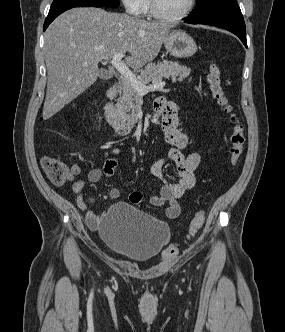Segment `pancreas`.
Here are the masks:
<instances>
[{
    "instance_id": "1",
    "label": "pancreas",
    "mask_w": 285,
    "mask_h": 332,
    "mask_svg": "<svg viewBox=\"0 0 285 332\" xmlns=\"http://www.w3.org/2000/svg\"><path fill=\"white\" fill-rule=\"evenodd\" d=\"M191 70L186 66H182L177 62L163 61L149 63L144 70L141 71L137 78L144 84L149 82L160 81L163 78L172 77L178 81H183L190 75ZM120 98L118 99V110L122 114L125 121L130 126H134L138 122L137 110L141 102L140 94L131 86L127 79H124L120 86Z\"/></svg>"
}]
</instances>
